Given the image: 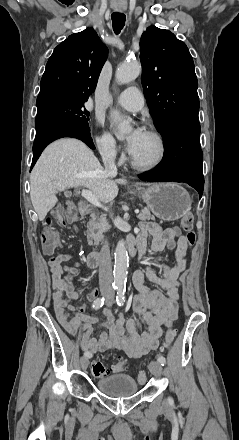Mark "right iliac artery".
<instances>
[{
    "instance_id": "82829eb1",
    "label": "right iliac artery",
    "mask_w": 239,
    "mask_h": 440,
    "mask_svg": "<svg viewBox=\"0 0 239 440\" xmlns=\"http://www.w3.org/2000/svg\"><path fill=\"white\" fill-rule=\"evenodd\" d=\"M114 289L116 290V289H118V288L115 287ZM104 302H105V299H104V298H97V299L94 300V302H93V306H92V307H93L95 310H97V309L101 308V307L104 305ZM84 356L87 357V358L92 357V355H91L89 352H85V353H84Z\"/></svg>"
}]
</instances>
